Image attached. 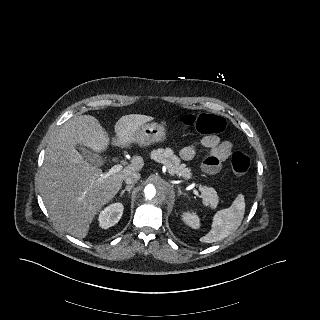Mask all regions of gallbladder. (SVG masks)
Returning a JSON list of instances; mask_svg holds the SVG:
<instances>
[{
  "instance_id": "1",
  "label": "gallbladder",
  "mask_w": 320,
  "mask_h": 320,
  "mask_svg": "<svg viewBox=\"0 0 320 320\" xmlns=\"http://www.w3.org/2000/svg\"><path fill=\"white\" fill-rule=\"evenodd\" d=\"M76 149L83 157L86 158V160L89 163H92V164H98L99 163L98 155L93 153V152H91L86 147L79 145V146L76 147Z\"/></svg>"
}]
</instances>
